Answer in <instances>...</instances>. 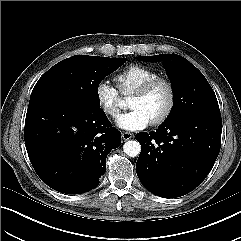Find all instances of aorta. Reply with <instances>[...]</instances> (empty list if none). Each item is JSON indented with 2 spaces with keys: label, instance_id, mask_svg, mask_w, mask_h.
I'll return each mask as SVG.
<instances>
[{
  "label": "aorta",
  "instance_id": "762f6f07",
  "mask_svg": "<svg viewBox=\"0 0 241 241\" xmlns=\"http://www.w3.org/2000/svg\"><path fill=\"white\" fill-rule=\"evenodd\" d=\"M123 151L126 153L129 157H136L141 152V145L136 140H129L124 143L123 145Z\"/></svg>",
  "mask_w": 241,
  "mask_h": 241
}]
</instances>
